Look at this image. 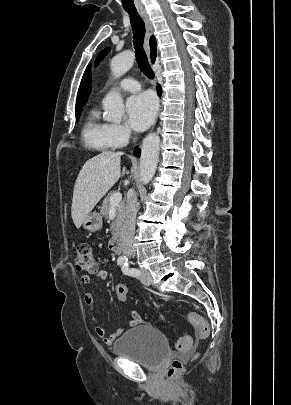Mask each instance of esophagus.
I'll use <instances>...</instances> for the list:
<instances>
[{
  "instance_id": "34e87169",
  "label": "esophagus",
  "mask_w": 291,
  "mask_h": 405,
  "mask_svg": "<svg viewBox=\"0 0 291 405\" xmlns=\"http://www.w3.org/2000/svg\"><path fill=\"white\" fill-rule=\"evenodd\" d=\"M139 14L145 23L146 36H145V41H144V49L147 52V54H149V52H150L149 39H150L151 35L153 34V25H152V22L148 16V14L145 11H139Z\"/></svg>"
}]
</instances>
